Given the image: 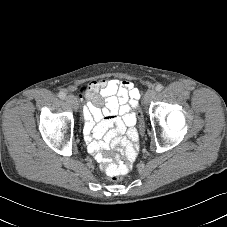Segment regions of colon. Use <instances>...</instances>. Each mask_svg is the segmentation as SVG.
Segmentation results:
<instances>
[{"mask_svg": "<svg viewBox=\"0 0 227 227\" xmlns=\"http://www.w3.org/2000/svg\"><path fill=\"white\" fill-rule=\"evenodd\" d=\"M138 118L140 122V130L143 132L145 130V122L143 120L144 115L142 113H138ZM137 133L136 132H131L130 137L134 139L136 137ZM115 156L113 154L110 155H105V171L108 176V179L110 181L116 182L121 179V176L125 173L128 172L129 170V165L128 164H123V165H118L113 163Z\"/></svg>", "mask_w": 227, "mask_h": 227, "instance_id": "1", "label": "colon"}]
</instances>
